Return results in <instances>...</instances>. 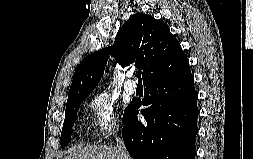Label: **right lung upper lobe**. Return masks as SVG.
<instances>
[{
	"label": "right lung upper lobe",
	"instance_id": "1",
	"mask_svg": "<svg viewBox=\"0 0 253 159\" xmlns=\"http://www.w3.org/2000/svg\"><path fill=\"white\" fill-rule=\"evenodd\" d=\"M109 54L123 67L136 62V67L143 70L144 84L169 76L189 63L163 20L137 13L120 28L113 47L86 56L78 65L67 102L92 92L104 73Z\"/></svg>",
	"mask_w": 253,
	"mask_h": 159
}]
</instances>
